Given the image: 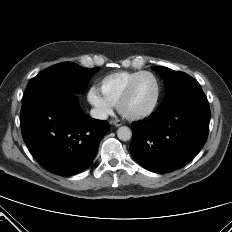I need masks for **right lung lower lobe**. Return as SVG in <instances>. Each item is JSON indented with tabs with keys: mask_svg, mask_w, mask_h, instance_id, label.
<instances>
[{
	"mask_svg": "<svg viewBox=\"0 0 232 232\" xmlns=\"http://www.w3.org/2000/svg\"><path fill=\"white\" fill-rule=\"evenodd\" d=\"M21 129L28 149L42 167L70 176L91 164L109 124L85 115L77 95L63 91L22 101Z\"/></svg>",
	"mask_w": 232,
	"mask_h": 232,
	"instance_id": "98d812e1",
	"label": "right lung lower lobe"
}]
</instances>
